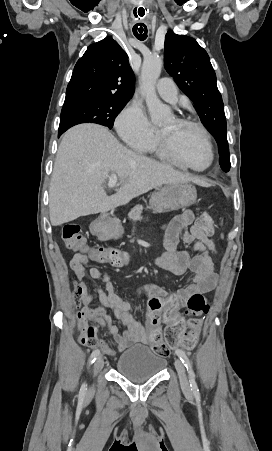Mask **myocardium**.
<instances>
[{
    "label": "myocardium",
    "instance_id": "myocardium-1",
    "mask_svg": "<svg viewBox=\"0 0 272 451\" xmlns=\"http://www.w3.org/2000/svg\"><path fill=\"white\" fill-rule=\"evenodd\" d=\"M173 118L176 122H178L181 125H186V126L195 128L200 133V135L209 151V154H210V162H209L208 166L202 170H197V169L191 168L190 166L184 164L183 162L180 164V167L183 170H185L187 172H192V173H201V172L210 170L215 163L216 156H215V151H214L213 145L211 143V140H210L205 128L201 124L194 122L192 120L186 119V118H182V117H173ZM160 138H161L162 149L164 152H167V149L169 148L170 145L167 142L166 134H165L164 130H161ZM177 159H178L177 157L176 158L174 157L172 160L174 162H177Z\"/></svg>",
    "mask_w": 272,
    "mask_h": 451
}]
</instances>
